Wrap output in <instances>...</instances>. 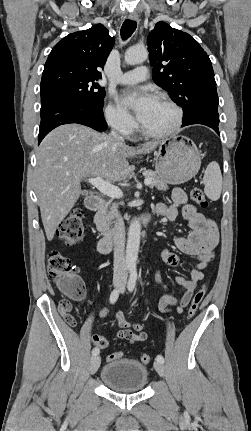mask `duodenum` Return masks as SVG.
<instances>
[{
	"instance_id": "duodenum-1",
	"label": "duodenum",
	"mask_w": 251,
	"mask_h": 431,
	"mask_svg": "<svg viewBox=\"0 0 251 431\" xmlns=\"http://www.w3.org/2000/svg\"><path fill=\"white\" fill-rule=\"evenodd\" d=\"M105 204V201L103 198H101L100 196H90L87 198L86 200V206L89 210L92 211H99L103 208ZM150 214L146 213L144 215H142L140 222L143 226L147 225L148 222L150 221ZM101 230V229H100ZM115 243V235L112 232H104L101 230V235L100 238L98 239L97 242V250L99 253L101 254H107L109 253Z\"/></svg>"
}]
</instances>
